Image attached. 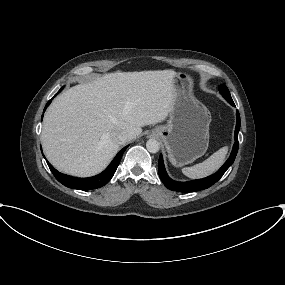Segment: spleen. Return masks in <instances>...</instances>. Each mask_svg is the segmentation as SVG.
I'll list each match as a JSON object with an SVG mask.
<instances>
[{
  "mask_svg": "<svg viewBox=\"0 0 285 285\" xmlns=\"http://www.w3.org/2000/svg\"><path fill=\"white\" fill-rule=\"evenodd\" d=\"M227 152L228 147H222L202 163L196 164L192 167H185L182 169V172L189 178H202L208 176L221 167L224 163Z\"/></svg>",
  "mask_w": 285,
  "mask_h": 285,
  "instance_id": "1",
  "label": "spleen"
}]
</instances>
